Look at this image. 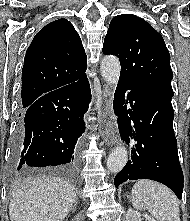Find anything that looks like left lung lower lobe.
I'll return each instance as SVG.
<instances>
[{
    "label": "left lung lower lobe",
    "mask_w": 190,
    "mask_h": 221,
    "mask_svg": "<svg viewBox=\"0 0 190 221\" xmlns=\"http://www.w3.org/2000/svg\"><path fill=\"white\" fill-rule=\"evenodd\" d=\"M171 98L166 92L119 80L114 111L119 116L121 137L132 145V159L116 175L117 188L128 179H151L168 186L179 199L182 198L183 172L172 124ZM125 102L130 104L129 109Z\"/></svg>",
    "instance_id": "1"
}]
</instances>
